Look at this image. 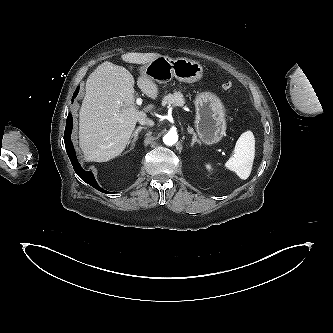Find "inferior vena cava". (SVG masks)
<instances>
[{
	"instance_id": "inferior-vena-cava-1",
	"label": "inferior vena cava",
	"mask_w": 333,
	"mask_h": 333,
	"mask_svg": "<svg viewBox=\"0 0 333 333\" xmlns=\"http://www.w3.org/2000/svg\"><path fill=\"white\" fill-rule=\"evenodd\" d=\"M139 123L141 125H148V126H153L154 125V122L151 119L147 118V117L140 118Z\"/></svg>"
}]
</instances>
